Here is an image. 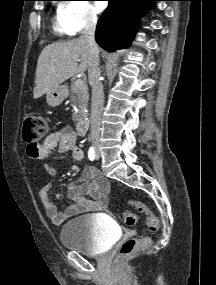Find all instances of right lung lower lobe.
<instances>
[{"label": "right lung lower lobe", "mask_w": 216, "mask_h": 285, "mask_svg": "<svg viewBox=\"0 0 216 285\" xmlns=\"http://www.w3.org/2000/svg\"><path fill=\"white\" fill-rule=\"evenodd\" d=\"M109 6L96 27V42L105 50L115 52L126 48L134 38L138 19L147 3L158 0H108Z\"/></svg>", "instance_id": "98d812e1"}]
</instances>
